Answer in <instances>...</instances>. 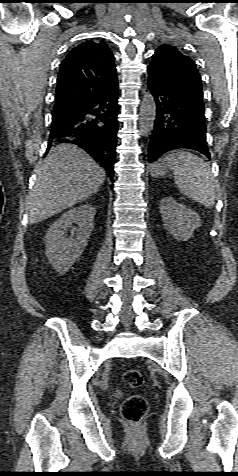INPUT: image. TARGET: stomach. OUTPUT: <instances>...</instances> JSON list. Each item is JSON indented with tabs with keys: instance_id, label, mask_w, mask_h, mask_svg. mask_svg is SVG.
<instances>
[{
	"instance_id": "1",
	"label": "stomach",
	"mask_w": 238,
	"mask_h": 476,
	"mask_svg": "<svg viewBox=\"0 0 238 476\" xmlns=\"http://www.w3.org/2000/svg\"><path fill=\"white\" fill-rule=\"evenodd\" d=\"M166 169H167L166 158H162L151 166L150 173L153 177L159 178V177H162L166 173Z\"/></svg>"
}]
</instances>
